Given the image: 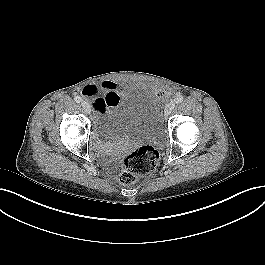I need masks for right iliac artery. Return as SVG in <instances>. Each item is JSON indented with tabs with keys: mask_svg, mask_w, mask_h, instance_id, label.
Here are the masks:
<instances>
[{
	"mask_svg": "<svg viewBox=\"0 0 265 265\" xmlns=\"http://www.w3.org/2000/svg\"><path fill=\"white\" fill-rule=\"evenodd\" d=\"M74 100H75V102H77V103L82 102V98H81L80 96H76V97L74 98Z\"/></svg>",
	"mask_w": 265,
	"mask_h": 265,
	"instance_id": "1",
	"label": "right iliac artery"
}]
</instances>
